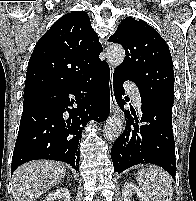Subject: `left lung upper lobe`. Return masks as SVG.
Masks as SVG:
<instances>
[{"instance_id": "5c2ea615", "label": "left lung upper lobe", "mask_w": 196, "mask_h": 201, "mask_svg": "<svg viewBox=\"0 0 196 201\" xmlns=\"http://www.w3.org/2000/svg\"><path fill=\"white\" fill-rule=\"evenodd\" d=\"M109 42L125 49V59L114 74L134 82L140 93L174 102V72L169 48L146 22L125 18Z\"/></svg>"}]
</instances>
